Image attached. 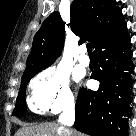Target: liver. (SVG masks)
Wrapping results in <instances>:
<instances>
[{"mask_svg":"<svg viewBox=\"0 0 136 136\" xmlns=\"http://www.w3.org/2000/svg\"><path fill=\"white\" fill-rule=\"evenodd\" d=\"M63 134L70 136L71 133L67 129H61L56 123H42L22 127L15 133V136H62Z\"/></svg>","mask_w":136,"mask_h":136,"instance_id":"liver-1","label":"liver"}]
</instances>
